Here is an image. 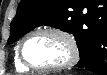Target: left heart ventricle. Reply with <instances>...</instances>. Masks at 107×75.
<instances>
[{
    "instance_id": "1",
    "label": "left heart ventricle",
    "mask_w": 107,
    "mask_h": 75,
    "mask_svg": "<svg viewBox=\"0 0 107 75\" xmlns=\"http://www.w3.org/2000/svg\"><path fill=\"white\" fill-rule=\"evenodd\" d=\"M25 58L36 66H53L66 62L70 56L67 44L58 36L39 33L24 46Z\"/></svg>"
}]
</instances>
